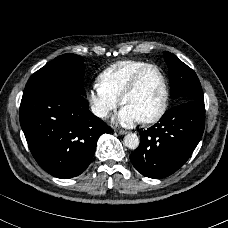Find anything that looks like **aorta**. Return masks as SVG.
<instances>
[{"label": "aorta", "mask_w": 228, "mask_h": 228, "mask_svg": "<svg viewBox=\"0 0 228 228\" xmlns=\"http://www.w3.org/2000/svg\"><path fill=\"white\" fill-rule=\"evenodd\" d=\"M140 144L137 134H128L124 137V145L130 150H136Z\"/></svg>", "instance_id": "1"}]
</instances>
